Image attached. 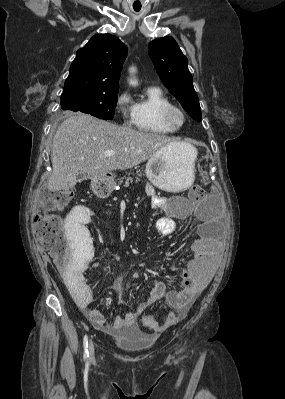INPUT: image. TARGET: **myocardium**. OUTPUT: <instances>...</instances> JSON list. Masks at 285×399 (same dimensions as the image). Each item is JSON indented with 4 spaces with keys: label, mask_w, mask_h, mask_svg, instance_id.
I'll return each instance as SVG.
<instances>
[{
    "label": "myocardium",
    "mask_w": 285,
    "mask_h": 399,
    "mask_svg": "<svg viewBox=\"0 0 285 399\" xmlns=\"http://www.w3.org/2000/svg\"><path fill=\"white\" fill-rule=\"evenodd\" d=\"M175 115H178L180 117L179 121L175 119ZM161 119L165 125L176 130L185 123L186 117L184 111L181 108L170 104L162 109Z\"/></svg>",
    "instance_id": "myocardium-1"
}]
</instances>
